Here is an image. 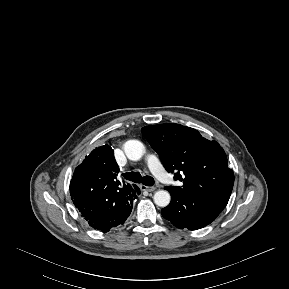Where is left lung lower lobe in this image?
Returning <instances> with one entry per match:
<instances>
[{"mask_svg":"<svg viewBox=\"0 0 289 289\" xmlns=\"http://www.w3.org/2000/svg\"><path fill=\"white\" fill-rule=\"evenodd\" d=\"M170 204L161 210L163 217L177 228L197 230L210 224L221 213L216 206L196 197L170 192Z\"/></svg>","mask_w":289,"mask_h":289,"instance_id":"0a47b994","label":"left lung lower lobe"}]
</instances>
